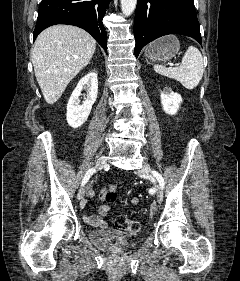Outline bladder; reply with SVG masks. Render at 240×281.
Masks as SVG:
<instances>
[{"label": "bladder", "instance_id": "31cf9c89", "mask_svg": "<svg viewBox=\"0 0 240 281\" xmlns=\"http://www.w3.org/2000/svg\"><path fill=\"white\" fill-rule=\"evenodd\" d=\"M90 240L97 246L125 250L135 246L140 240L139 233H123L109 229L93 230Z\"/></svg>", "mask_w": 240, "mask_h": 281}]
</instances>
